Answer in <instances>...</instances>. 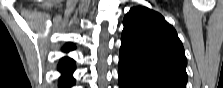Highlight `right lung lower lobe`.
Masks as SVG:
<instances>
[{
  "mask_svg": "<svg viewBox=\"0 0 223 88\" xmlns=\"http://www.w3.org/2000/svg\"><path fill=\"white\" fill-rule=\"evenodd\" d=\"M63 77H64V75H63ZM63 77L60 78V82H59L60 87L68 88L74 84V79L71 77V74L69 76L70 78H68V79H64Z\"/></svg>",
  "mask_w": 223,
  "mask_h": 88,
  "instance_id": "1",
  "label": "right lung lower lobe"
}]
</instances>
